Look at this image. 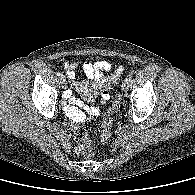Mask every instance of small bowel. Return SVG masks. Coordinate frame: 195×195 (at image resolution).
<instances>
[{
	"label": "small bowel",
	"mask_w": 195,
	"mask_h": 195,
	"mask_svg": "<svg viewBox=\"0 0 195 195\" xmlns=\"http://www.w3.org/2000/svg\"><path fill=\"white\" fill-rule=\"evenodd\" d=\"M77 64L75 62H68L65 64L66 74L69 79L70 87L80 92L87 99H91L93 95L100 94L103 102L110 99L109 89L114 84L119 75L122 73V67H119L114 74L105 77L103 71H109L111 64L108 61L85 62L83 64V71L91 82H79L75 80V72ZM67 101L65 106L66 115L73 123H81L86 119V115L96 118L101 111L97 107L85 106L84 103L76 99L70 90L63 94Z\"/></svg>",
	"instance_id": "obj_1"
}]
</instances>
